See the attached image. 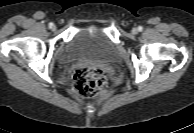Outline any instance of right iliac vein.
Returning a JSON list of instances; mask_svg holds the SVG:
<instances>
[{"mask_svg":"<svg viewBox=\"0 0 194 133\" xmlns=\"http://www.w3.org/2000/svg\"><path fill=\"white\" fill-rule=\"evenodd\" d=\"M51 29H52L53 31H55V30H56V26L53 25V26L51 27Z\"/></svg>","mask_w":194,"mask_h":133,"instance_id":"obj_1","label":"right iliac vein"}]
</instances>
